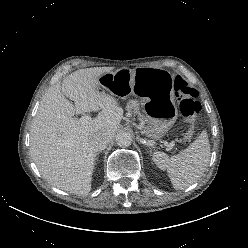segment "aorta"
I'll list each match as a JSON object with an SVG mask.
<instances>
[{"mask_svg":"<svg viewBox=\"0 0 248 248\" xmlns=\"http://www.w3.org/2000/svg\"><path fill=\"white\" fill-rule=\"evenodd\" d=\"M116 143L120 147H128L132 143V135L128 131H119L116 135Z\"/></svg>","mask_w":248,"mask_h":248,"instance_id":"obj_1","label":"aorta"}]
</instances>
